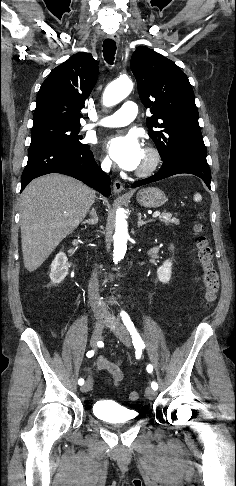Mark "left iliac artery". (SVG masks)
<instances>
[{
    "label": "left iliac artery",
    "mask_w": 236,
    "mask_h": 486,
    "mask_svg": "<svg viewBox=\"0 0 236 486\" xmlns=\"http://www.w3.org/2000/svg\"><path fill=\"white\" fill-rule=\"evenodd\" d=\"M120 315L122 317L124 325L126 326L127 330L131 334L134 347L135 348H144L145 344H144L143 340L141 339L140 335L138 334V332H137L132 320L130 319L129 315L125 311H121ZM146 369L149 373H152L153 366L151 364H149ZM151 387H152V389L157 390L158 384L153 381L151 383Z\"/></svg>",
    "instance_id": "left-iliac-artery-1"
}]
</instances>
